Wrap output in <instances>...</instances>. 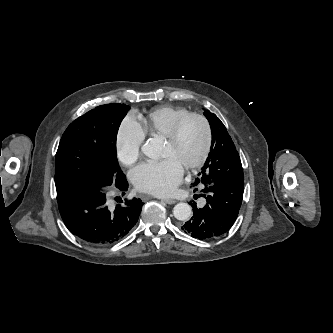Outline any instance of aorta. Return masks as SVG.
Instances as JSON below:
<instances>
[{"label":"aorta","instance_id":"obj_1","mask_svg":"<svg viewBox=\"0 0 333 333\" xmlns=\"http://www.w3.org/2000/svg\"><path fill=\"white\" fill-rule=\"evenodd\" d=\"M142 152L149 158H156L158 150L153 142H146L142 148ZM192 209L188 203H178L173 209L174 217L180 221H186L191 216Z\"/></svg>","mask_w":333,"mask_h":333}]
</instances>
